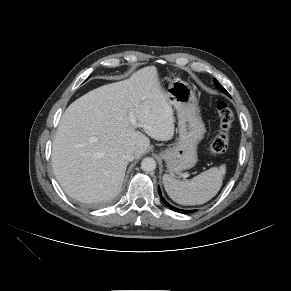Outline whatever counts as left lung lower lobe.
<instances>
[{"label": "left lung lower lobe", "mask_w": 291, "mask_h": 291, "mask_svg": "<svg viewBox=\"0 0 291 291\" xmlns=\"http://www.w3.org/2000/svg\"><path fill=\"white\" fill-rule=\"evenodd\" d=\"M158 192H159V195L162 199V201L168 206L170 207L172 210L176 211V212H180V213H189V212H194V210H191V211H188V210H183V209H178V208H175L173 206H171L161 195V190L160 188L158 189Z\"/></svg>", "instance_id": "obj_1"}]
</instances>
